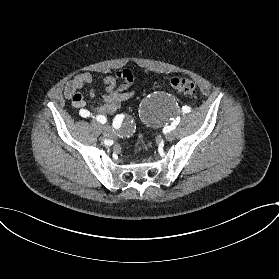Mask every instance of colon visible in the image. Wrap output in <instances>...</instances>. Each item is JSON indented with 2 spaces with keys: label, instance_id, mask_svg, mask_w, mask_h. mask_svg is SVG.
I'll list each match as a JSON object with an SVG mask.
<instances>
[{
  "label": "colon",
  "instance_id": "5ec220e1",
  "mask_svg": "<svg viewBox=\"0 0 279 279\" xmlns=\"http://www.w3.org/2000/svg\"><path fill=\"white\" fill-rule=\"evenodd\" d=\"M170 87L182 94L195 96L197 89L196 84L187 77L176 76L169 80Z\"/></svg>",
  "mask_w": 279,
  "mask_h": 279
}]
</instances>
